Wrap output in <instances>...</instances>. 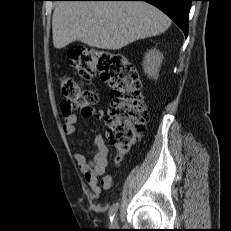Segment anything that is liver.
Masks as SVG:
<instances>
[{"instance_id": "liver-1", "label": "liver", "mask_w": 231, "mask_h": 231, "mask_svg": "<svg viewBox=\"0 0 231 231\" xmlns=\"http://www.w3.org/2000/svg\"><path fill=\"white\" fill-rule=\"evenodd\" d=\"M171 20L140 1H60L52 17L53 45L64 48L76 40L99 49L118 50L164 33Z\"/></svg>"}]
</instances>
